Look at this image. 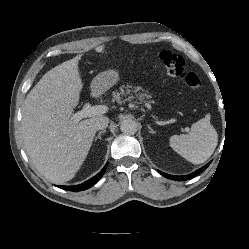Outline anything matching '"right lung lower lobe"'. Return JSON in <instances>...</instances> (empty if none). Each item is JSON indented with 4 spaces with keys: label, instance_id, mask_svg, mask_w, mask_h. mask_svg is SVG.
<instances>
[{
    "label": "right lung lower lobe",
    "instance_id": "obj_1",
    "mask_svg": "<svg viewBox=\"0 0 249 249\" xmlns=\"http://www.w3.org/2000/svg\"><path fill=\"white\" fill-rule=\"evenodd\" d=\"M106 168H107V164L103 167V169L97 175H95L94 177H92L91 179L87 180L86 182L82 184L74 185V186L59 185L58 187L64 190H69V191H81V190L88 189L98 182V180L103 176Z\"/></svg>",
    "mask_w": 249,
    "mask_h": 249
}]
</instances>
